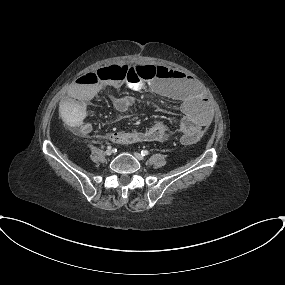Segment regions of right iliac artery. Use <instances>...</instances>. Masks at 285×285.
Wrapping results in <instances>:
<instances>
[{
    "label": "right iliac artery",
    "mask_w": 285,
    "mask_h": 285,
    "mask_svg": "<svg viewBox=\"0 0 285 285\" xmlns=\"http://www.w3.org/2000/svg\"><path fill=\"white\" fill-rule=\"evenodd\" d=\"M112 147L111 146H107V149H111Z\"/></svg>",
    "instance_id": "obj_1"
}]
</instances>
